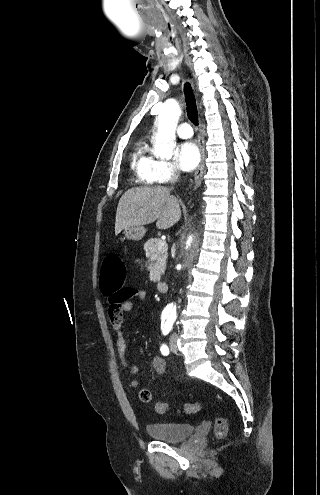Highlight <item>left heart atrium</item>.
Instances as JSON below:
<instances>
[{
    "label": "left heart atrium",
    "instance_id": "39dd6f15",
    "mask_svg": "<svg viewBox=\"0 0 320 495\" xmlns=\"http://www.w3.org/2000/svg\"><path fill=\"white\" fill-rule=\"evenodd\" d=\"M179 166L184 171L194 170L200 162V151L194 142H184L177 151Z\"/></svg>",
    "mask_w": 320,
    "mask_h": 495
}]
</instances>
